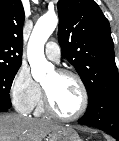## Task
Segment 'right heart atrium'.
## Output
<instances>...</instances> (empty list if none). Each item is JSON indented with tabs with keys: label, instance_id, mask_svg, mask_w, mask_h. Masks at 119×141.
<instances>
[{
	"label": "right heart atrium",
	"instance_id": "d8ad5b80",
	"mask_svg": "<svg viewBox=\"0 0 119 141\" xmlns=\"http://www.w3.org/2000/svg\"><path fill=\"white\" fill-rule=\"evenodd\" d=\"M10 96L16 109L25 114L30 113L39 102L41 88L25 66H21L13 77Z\"/></svg>",
	"mask_w": 119,
	"mask_h": 141
}]
</instances>
